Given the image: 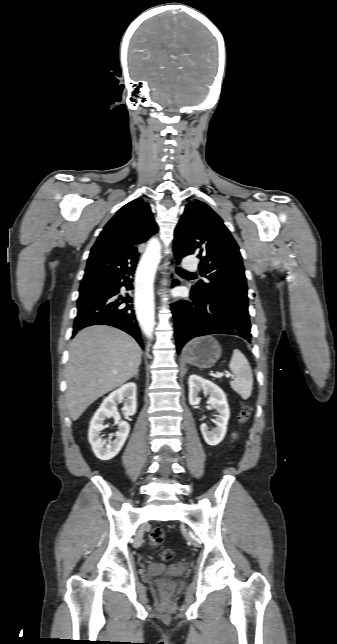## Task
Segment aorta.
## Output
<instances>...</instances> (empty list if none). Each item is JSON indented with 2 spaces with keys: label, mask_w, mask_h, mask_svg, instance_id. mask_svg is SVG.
Here are the masks:
<instances>
[{
  "label": "aorta",
  "mask_w": 337,
  "mask_h": 644,
  "mask_svg": "<svg viewBox=\"0 0 337 644\" xmlns=\"http://www.w3.org/2000/svg\"><path fill=\"white\" fill-rule=\"evenodd\" d=\"M160 247L148 249L143 255L135 277V308L145 335L152 338L155 326L153 280L160 261Z\"/></svg>",
  "instance_id": "aorta-1"
}]
</instances>
